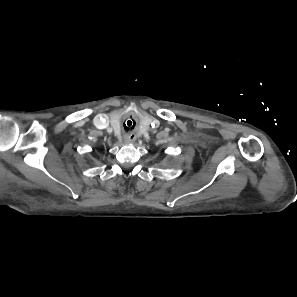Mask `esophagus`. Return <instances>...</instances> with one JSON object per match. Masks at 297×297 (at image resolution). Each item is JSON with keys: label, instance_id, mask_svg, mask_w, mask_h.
<instances>
[{"label": "esophagus", "instance_id": "obj_1", "mask_svg": "<svg viewBox=\"0 0 297 297\" xmlns=\"http://www.w3.org/2000/svg\"><path fill=\"white\" fill-rule=\"evenodd\" d=\"M135 139H136L135 134H130L128 136H125V142H127V143H132L135 141Z\"/></svg>", "mask_w": 297, "mask_h": 297}]
</instances>
